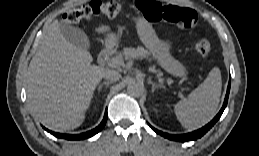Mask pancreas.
Masks as SVG:
<instances>
[{
  "label": "pancreas",
  "mask_w": 259,
  "mask_h": 156,
  "mask_svg": "<svg viewBox=\"0 0 259 156\" xmlns=\"http://www.w3.org/2000/svg\"><path fill=\"white\" fill-rule=\"evenodd\" d=\"M148 56V51L145 50L143 47L138 48H124L122 53H119L116 58L122 60L124 57L125 59H143ZM160 74V72H158Z\"/></svg>",
  "instance_id": "obj_1"
}]
</instances>
